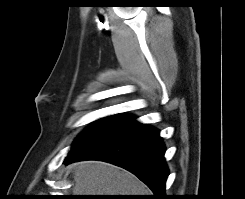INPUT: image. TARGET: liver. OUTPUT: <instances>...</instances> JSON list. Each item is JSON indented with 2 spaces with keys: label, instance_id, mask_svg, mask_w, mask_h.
I'll list each match as a JSON object with an SVG mask.
<instances>
[{
  "label": "liver",
  "instance_id": "1",
  "mask_svg": "<svg viewBox=\"0 0 245 199\" xmlns=\"http://www.w3.org/2000/svg\"><path fill=\"white\" fill-rule=\"evenodd\" d=\"M74 169V195H149L150 191L133 174L109 163L82 161Z\"/></svg>",
  "mask_w": 245,
  "mask_h": 199
}]
</instances>
